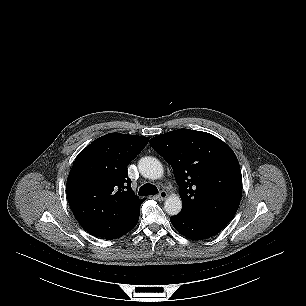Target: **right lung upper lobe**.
<instances>
[{
    "instance_id": "right-lung-upper-lobe-1",
    "label": "right lung upper lobe",
    "mask_w": 306,
    "mask_h": 306,
    "mask_svg": "<svg viewBox=\"0 0 306 306\" xmlns=\"http://www.w3.org/2000/svg\"><path fill=\"white\" fill-rule=\"evenodd\" d=\"M148 141V137L109 133L76 157L67 179V198L89 234L118 238L140 211L144 199L134 195L127 166Z\"/></svg>"
}]
</instances>
